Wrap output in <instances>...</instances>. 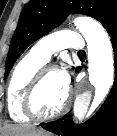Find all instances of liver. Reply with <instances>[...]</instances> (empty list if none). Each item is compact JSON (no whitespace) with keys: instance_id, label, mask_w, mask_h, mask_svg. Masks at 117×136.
<instances>
[{"instance_id":"obj_1","label":"liver","mask_w":117,"mask_h":136,"mask_svg":"<svg viewBox=\"0 0 117 136\" xmlns=\"http://www.w3.org/2000/svg\"><path fill=\"white\" fill-rule=\"evenodd\" d=\"M4 130L5 136H46L45 131L26 124L7 125Z\"/></svg>"}]
</instances>
